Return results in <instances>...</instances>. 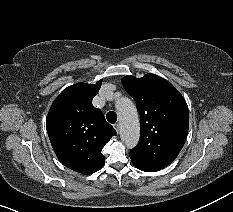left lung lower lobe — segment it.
<instances>
[{"label": "left lung lower lobe", "mask_w": 233, "mask_h": 212, "mask_svg": "<svg viewBox=\"0 0 233 212\" xmlns=\"http://www.w3.org/2000/svg\"><path fill=\"white\" fill-rule=\"evenodd\" d=\"M130 158H131V161H132L133 165L136 168H138V169H140L142 171H145V172H156V171L161 170L159 168H156V167L144 164V163L140 162L139 160H136V159H134L132 157H130Z\"/></svg>", "instance_id": "left-lung-lower-lobe-1"}]
</instances>
